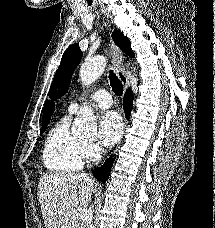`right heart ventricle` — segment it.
<instances>
[{"label": "right heart ventricle", "mask_w": 215, "mask_h": 228, "mask_svg": "<svg viewBox=\"0 0 215 228\" xmlns=\"http://www.w3.org/2000/svg\"><path fill=\"white\" fill-rule=\"evenodd\" d=\"M70 116L58 119L46 134L42 160L52 173L68 174L78 171L83 163V142L69 128Z\"/></svg>", "instance_id": "1"}]
</instances>
